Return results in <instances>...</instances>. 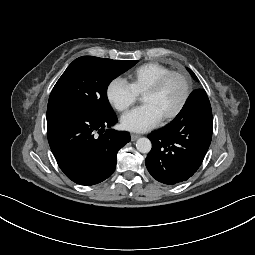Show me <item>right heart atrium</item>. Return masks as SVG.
<instances>
[{"instance_id":"d8ad5b80","label":"right heart atrium","mask_w":255,"mask_h":255,"mask_svg":"<svg viewBox=\"0 0 255 255\" xmlns=\"http://www.w3.org/2000/svg\"><path fill=\"white\" fill-rule=\"evenodd\" d=\"M138 96L131 84L120 77L113 78L106 87L108 102L119 112H124L132 106Z\"/></svg>"}]
</instances>
